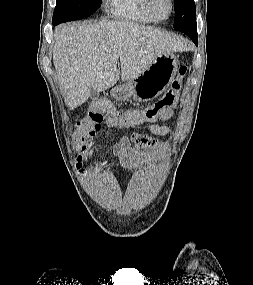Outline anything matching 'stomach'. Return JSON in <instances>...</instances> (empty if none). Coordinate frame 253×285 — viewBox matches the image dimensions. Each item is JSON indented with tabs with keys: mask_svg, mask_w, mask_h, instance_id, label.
Segmentation results:
<instances>
[{
	"mask_svg": "<svg viewBox=\"0 0 253 285\" xmlns=\"http://www.w3.org/2000/svg\"><path fill=\"white\" fill-rule=\"evenodd\" d=\"M177 69V57L172 52H165L137 77L112 87L110 94L116 100L132 98L136 102L150 101L167 90Z\"/></svg>",
	"mask_w": 253,
	"mask_h": 285,
	"instance_id": "obj_1",
	"label": "stomach"
}]
</instances>
